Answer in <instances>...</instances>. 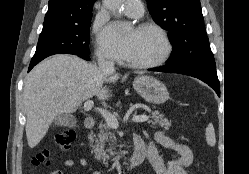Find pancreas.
<instances>
[{
  "label": "pancreas",
  "mask_w": 249,
  "mask_h": 174,
  "mask_svg": "<svg viewBox=\"0 0 249 174\" xmlns=\"http://www.w3.org/2000/svg\"><path fill=\"white\" fill-rule=\"evenodd\" d=\"M141 107H145L144 105H140ZM152 125L155 127L159 125L164 129L168 130L171 127V122L164 118L163 114H160L157 111L152 112ZM95 139V145L92 146L95 158L99 161H102L104 165H108L109 161L117 160L118 157L115 156V145H116V137L110 132V128L106 124H101L99 126V132ZM109 147L106 148L105 145Z\"/></svg>",
  "instance_id": "obj_1"
}]
</instances>
